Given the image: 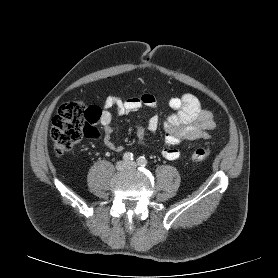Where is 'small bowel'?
<instances>
[{"label": "small bowel", "mask_w": 278, "mask_h": 278, "mask_svg": "<svg viewBox=\"0 0 278 278\" xmlns=\"http://www.w3.org/2000/svg\"><path fill=\"white\" fill-rule=\"evenodd\" d=\"M156 105V97L150 93H143L127 99L118 96L107 97L100 119L104 132V144L115 152L123 150L122 145L115 144L111 139L113 131L112 110H115L118 115H128L143 107L153 108ZM168 105L174 113L163 123L165 147L162 155L168 160H176L180 157V150L177 148L180 142L207 139L210 132L215 129L216 123L213 113L205 108L193 94L186 93L181 96H173L169 99ZM159 126L160 119L157 115H154L148 120L145 127H138L137 137L139 142L144 145L146 132H154Z\"/></svg>", "instance_id": "small-bowel-1"}]
</instances>
